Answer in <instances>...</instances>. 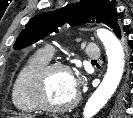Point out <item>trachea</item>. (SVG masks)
Returning a JSON list of instances; mask_svg holds the SVG:
<instances>
[{"label":"trachea","mask_w":133,"mask_h":118,"mask_svg":"<svg viewBox=\"0 0 133 118\" xmlns=\"http://www.w3.org/2000/svg\"><path fill=\"white\" fill-rule=\"evenodd\" d=\"M92 63H96V60H92Z\"/></svg>","instance_id":"1"}]
</instances>
